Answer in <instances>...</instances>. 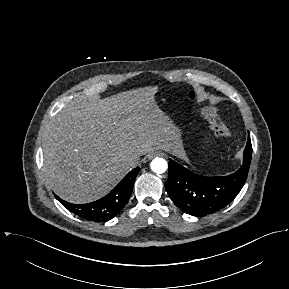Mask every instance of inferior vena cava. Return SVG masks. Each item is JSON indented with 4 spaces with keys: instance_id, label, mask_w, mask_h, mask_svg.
Wrapping results in <instances>:
<instances>
[{
    "instance_id": "1",
    "label": "inferior vena cava",
    "mask_w": 289,
    "mask_h": 289,
    "mask_svg": "<svg viewBox=\"0 0 289 289\" xmlns=\"http://www.w3.org/2000/svg\"><path fill=\"white\" fill-rule=\"evenodd\" d=\"M126 161L131 167H135L138 164V161L134 157H127Z\"/></svg>"
}]
</instances>
